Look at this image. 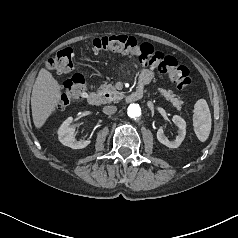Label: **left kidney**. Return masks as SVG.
Segmentation results:
<instances>
[{
	"label": "left kidney",
	"mask_w": 238,
	"mask_h": 238,
	"mask_svg": "<svg viewBox=\"0 0 238 238\" xmlns=\"http://www.w3.org/2000/svg\"><path fill=\"white\" fill-rule=\"evenodd\" d=\"M173 122L174 124L178 127V135L176 136L175 140H168V138L165 136L164 131H163V127L161 126L158 131H157V139L160 143L164 144L165 146L169 147V148H177L181 145L182 141L185 138L186 135V122L185 120L178 116L175 115L173 116Z\"/></svg>",
	"instance_id": "1"
}]
</instances>
